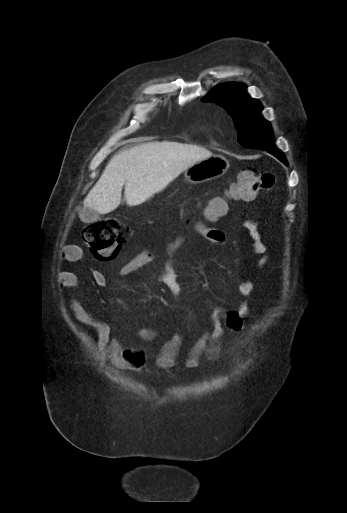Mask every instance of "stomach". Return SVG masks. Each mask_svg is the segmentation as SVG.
Here are the masks:
<instances>
[{
  "mask_svg": "<svg viewBox=\"0 0 347 513\" xmlns=\"http://www.w3.org/2000/svg\"><path fill=\"white\" fill-rule=\"evenodd\" d=\"M229 166V161L224 156L211 155L188 167L184 175L191 184H200L221 177Z\"/></svg>",
  "mask_w": 347,
  "mask_h": 513,
  "instance_id": "stomach-1",
  "label": "stomach"
}]
</instances>
